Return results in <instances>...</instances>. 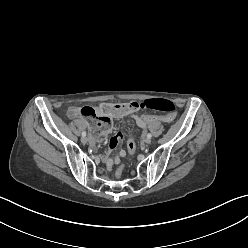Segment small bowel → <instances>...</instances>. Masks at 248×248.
Masks as SVG:
<instances>
[{
  "instance_id": "small-bowel-1",
  "label": "small bowel",
  "mask_w": 248,
  "mask_h": 248,
  "mask_svg": "<svg viewBox=\"0 0 248 248\" xmlns=\"http://www.w3.org/2000/svg\"><path fill=\"white\" fill-rule=\"evenodd\" d=\"M103 104L99 105L95 108L98 110H101ZM80 107L77 106H71L67 110V115L69 118H79L81 117L80 114ZM124 116H128L131 118L139 127L142 128L141 125V118L138 117V113H136V110H130L128 111ZM111 127V125H110ZM123 139V134L120 131H115L113 135L109 139V151L104 155L103 160L107 166V169L109 171L112 170V167L120 162V158L126 155V150L125 149H120L117 155L114 157H111L110 152L118 145V143Z\"/></svg>"
}]
</instances>
